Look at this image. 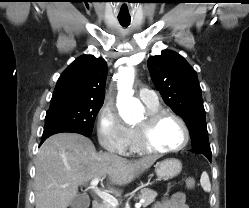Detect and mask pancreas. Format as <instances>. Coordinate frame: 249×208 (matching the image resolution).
Segmentation results:
<instances>
[{"label": "pancreas", "mask_w": 249, "mask_h": 208, "mask_svg": "<svg viewBox=\"0 0 249 208\" xmlns=\"http://www.w3.org/2000/svg\"><path fill=\"white\" fill-rule=\"evenodd\" d=\"M156 196H157V193L154 190H151L149 188L141 189L139 198L144 200V202L142 203V206L145 208L151 203H153L155 201ZM101 208H114V207L106 202H103V204L101 205Z\"/></svg>", "instance_id": "1"}]
</instances>
